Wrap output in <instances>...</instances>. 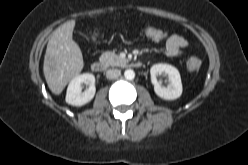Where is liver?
<instances>
[{
	"label": "liver",
	"mask_w": 248,
	"mask_h": 165,
	"mask_svg": "<svg viewBox=\"0 0 248 165\" xmlns=\"http://www.w3.org/2000/svg\"><path fill=\"white\" fill-rule=\"evenodd\" d=\"M74 26L75 20L62 24L47 44L43 72L49 89L55 95H59L84 66L80 47L72 39Z\"/></svg>",
	"instance_id": "obj_1"
}]
</instances>
